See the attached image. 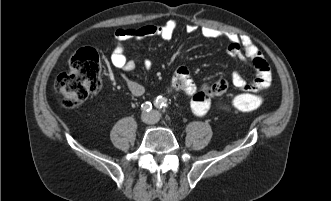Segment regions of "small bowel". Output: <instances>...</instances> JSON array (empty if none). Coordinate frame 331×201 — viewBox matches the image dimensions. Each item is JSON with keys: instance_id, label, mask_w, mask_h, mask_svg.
<instances>
[{"instance_id": "c3829d8e", "label": "small bowel", "mask_w": 331, "mask_h": 201, "mask_svg": "<svg viewBox=\"0 0 331 201\" xmlns=\"http://www.w3.org/2000/svg\"><path fill=\"white\" fill-rule=\"evenodd\" d=\"M176 30V23L173 20H167L160 25H144L137 28H120L114 34V47L111 53V63L117 69L124 72H131L135 69L134 60L126 56V43L131 40H142L147 37H160L164 40L172 38ZM187 33L199 31L201 35L208 39H226L229 42L227 53L233 59L249 63L256 71V76L247 81L239 71L232 75L233 85L247 92H259L266 89L271 82V72L268 63L255 44L246 35H240L234 32H227L211 27L198 28L196 25L186 26ZM145 68H151V62L145 61ZM126 85L129 92L134 97H140L144 94V87L133 79H127ZM170 91H181L190 98L192 112L196 116H204L210 109L212 99L220 96L227 90V82L218 79L212 83L204 84L198 87L188 69L179 66L174 71L169 85ZM219 107L225 111L233 110L228 104H219Z\"/></svg>"}]
</instances>
